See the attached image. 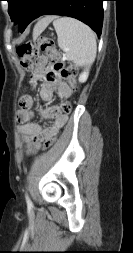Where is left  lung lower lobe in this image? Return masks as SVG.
Here are the masks:
<instances>
[{
	"label": "left lung lower lobe",
	"mask_w": 133,
	"mask_h": 253,
	"mask_svg": "<svg viewBox=\"0 0 133 253\" xmlns=\"http://www.w3.org/2000/svg\"><path fill=\"white\" fill-rule=\"evenodd\" d=\"M105 0H29L19 21V32L42 15L54 14L76 18L90 26L98 36L103 23Z\"/></svg>",
	"instance_id": "obj_1"
}]
</instances>
